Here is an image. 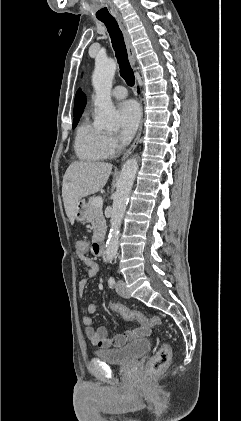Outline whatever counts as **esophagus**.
<instances>
[{
  "label": "esophagus",
  "mask_w": 241,
  "mask_h": 421,
  "mask_svg": "<svg viewBox=\"0 0 241 421\" xmlns=\"http://www.w3.org/2000/svg\"><path fill=\"white\" fill-rule=\"evenodd\" d=\"M117 21H118L119 27H120V29L123 33V36H124V40H125V44H126V47H127V53H128V58H129L130 64L135 68V63H136L135 52H134V48L132 46V41H131L130 34L128 32L127 26L125 24V21L121 17H118ZM142 127H143V124H142V121H141V124L139 126L136 138H135L134 142L132 143V145L130 146V148L124 153V155L122 157V161L127 159L129 157V155L137 147L140 136H141Z\"/></svg>",
  "instance_id": "1"
}]
</instances>
